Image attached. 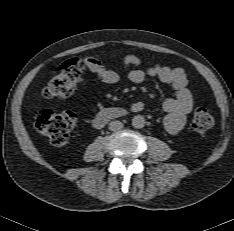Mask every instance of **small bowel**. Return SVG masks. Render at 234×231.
<instances>
[{"instance_id": "obj_1", "label": "small bowel", "mask_w": 234, "mask_h": 231, "mask_svg": "<svg viewBox=\"0 0 234 231\" xmlns=\"http://www.w3.org/2000/svg\"><path fill=\"white\" fill-rule=\"evenodd\" d=\"M125 65H146L145 70L133 69L128 73V78L133 83H142L147 76L155 77L169 85L175 91V98L165 99L160 102V108L166 112L163 125L170 134H178L185 126L187 115L193 107V97L188 89L187 76L181 68H170L158 63L146 61L138 55H127L123 58ZM88 65L92 72L105 84L114 85L119 81V75L114 70L102 65L94 58L88 59ZM148 106L144 101L133 102L130 109L140 112Z\"/></svg>"}]
</instances>
